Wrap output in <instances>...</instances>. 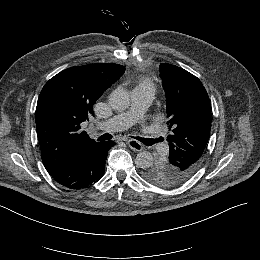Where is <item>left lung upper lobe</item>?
Masks as SVG:
<instances>
[{"instance_id": "obj_1", "label": "left lung upper lobe", "mask_w": 260, "mask_h": 260, "mask_svg": "<svg viewBox=\"0 0 260 260\" xmlns=\"http://www.w3.org/2000/svg\"><path fill=\"white\" fill-rule=\"evenodd\" d=\"M167 99L169 158L143 171L144 178L159 186H176L198 169L211 128V104L200 80L170 64L160 65Z\"/></svg>"}]
</instances>
